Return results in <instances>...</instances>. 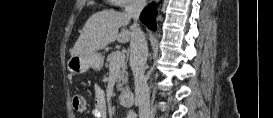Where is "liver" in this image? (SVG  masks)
Listing matches in <instances>:
<instances>
[{
	"instance_id": "liver-1",
	"label": "liver",
	"mask_w": 273,
	"mask_h": 118,
	"mask_svg": "<svg viewBox=\"0 0 273 118\" xmlns=\"http://www.w3.org/2000/svg\"><path fill=\"white\" fill-rule=\"evenodd\" d=\"M131 17L127 13L103 10L93 14L85 23L82 32L71 50V56L87 55L105 48L117 40L128 42L131 32L119 28L129 24Z\"/></svg>"
}]
</instances>
